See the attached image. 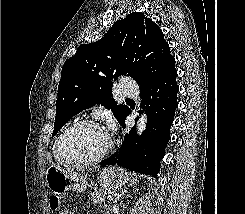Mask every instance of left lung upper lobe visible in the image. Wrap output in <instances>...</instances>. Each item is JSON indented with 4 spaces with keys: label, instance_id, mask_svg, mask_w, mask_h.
Listing matches in <instances>:
<instances>
[{
    "label": "left lung upper lobe",
    "instance_id": "obj_1",
    "mask_svg": "<svg viewBox=\"0 0 245 214\" xmlns=\"http://www.w3.org/2000/svg\"><path fill=\"white\" fill-rule=\"evenodd\" d=\"M174 64L162 30L142 13L118 20L100 40L79 46L62 67L52 136L82 110L102 103L121 124L130 110L112 96L113 79L132 77L143 89Z\"/></svg>",
    "mask_w": 245,
    "mask_h": 214
}]
</instances>
